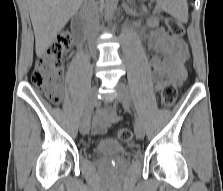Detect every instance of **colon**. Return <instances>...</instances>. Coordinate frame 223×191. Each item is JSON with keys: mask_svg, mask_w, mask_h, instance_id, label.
Wrapping results in <instances>:
<instances>
[{"mask_svg": "<svg viewBox=\"0 0 223 191\" xmlns=\"http://www.w3.org/2000/svg\"><path fill=\"white\" fill-rule=\"evenodd\" d=\"M166 27L169 32L177 37L184 36V26L174 19L166 20ZM72 38L68 34H62L52 43L45 55L39 58L34 66L31 75V82L34 88L44 95L53 104H59L62 100V57L69 50ZM177 87L173 83H165L161 89V101L164 107H171L176 101ZM117 136L122 142L132 140V132L127 128L118 130Z\"/></svg>", "mask_w": 223, "mask_h": 191, "instance_id": "5ec220e1", "label": "colon"}]
</instances>
